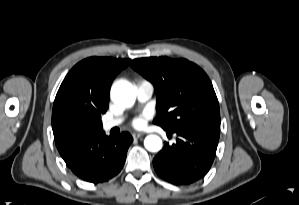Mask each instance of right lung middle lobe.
Instances as JSON below:
<instances>
[{"instance_id":"right-lung-middle-lobe-1","label":"right lung middle lobe","mask_w":299,"mask_h":205,"mask_svg":"<svg viewBox=\"0 0 299 205\" xmlns=\"http://www.w3.org/2000/svg\"><path fill=\"white\" fill-rule=\"evenodd\" d=\"M72 131L80 138H87L99 131H102V125L91 126L87 123H77L72 127Z\"/></svg>"}]
</instances>
